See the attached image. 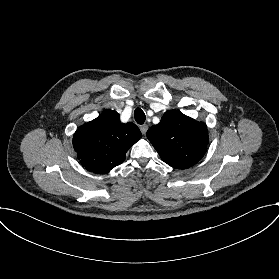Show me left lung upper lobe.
Listing matches in <instances>:
<instances>
[{
	"mask_svg": "<svg viewBox=\"0 0 279 279\" xmlns=\"http://www.w3.org/2000/svg\"><path fill=\"white\" fill-rule=\"evenodd\" d=\"M147 137L161 159L177 169L196 164L208 144L206 124L176 110L165 112L160 123L147 131Z\"/></svg>",
	"mask_w": 279,
	"mask_h": 279,
	"instance_id": "5c2ea615",
	"label": "left lung upper lobe"
}]
</instances>
